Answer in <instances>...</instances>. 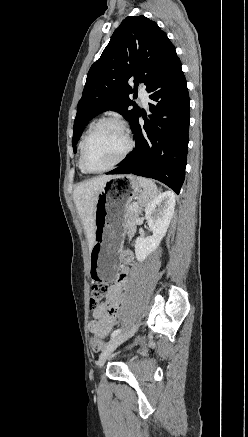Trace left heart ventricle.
I'll return each instance as SVG.
<instances>
[{"label":"left heart ventricle","instance_id":"obj_1","mask_svg":"<svg viewBox=\"0 0 248 437\" xmlns=\"http://www.w3.org/2000/svg\"><path fill=\"white\" fill-rule=\"evenodd\" d=\"M126 148L123 132L108 124L90 139L86 150V162L93 170L103 169L116 161Z\"/></svg>","mask_w":248,"mask_h":437}]
</instances>
